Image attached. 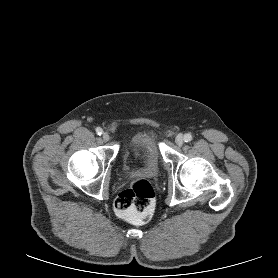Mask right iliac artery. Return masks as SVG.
I'll return each instance as SVG.
<instances>
[{
  "label": "right iliac artery",
  "mask_w": 278,
  "mask_h": 278,
  "mask_svg": "<svg viewBox=\"0 0 278 278\" xmlns=\"http://www.w3.org/2000/svg\"><path fill=\"white\" fill-rule=\"evenodd\" d=\"M96 133H97L98 135H101V134L103 133L102 128H100V127L96 128Z\"/></svg>",
  "instance_id": "right-iliac-artery-1"
}]
</instances>
